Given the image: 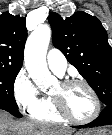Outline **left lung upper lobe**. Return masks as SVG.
<instances>
[{
    "mask_svg": "<svg viewBox=\"0 0 112 135\" xmlns=\"http://www.w3.org/2000/svg\"><path fill=\"white\" fill-rule=\"evenodd\" d=\"M48 20L54 46L77 68L101 102L112 105V48L101 22L83 11L65 20L52 12Z\"/></svg>",
    "mask_w": 112,
    "mask_h": 135,
    "instance_id": "1",
    "label": "left lung upper lobe"
}]
</instances>
